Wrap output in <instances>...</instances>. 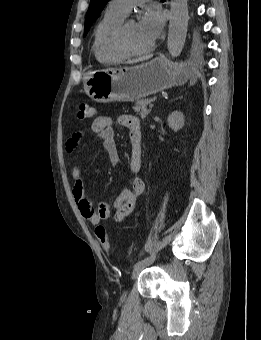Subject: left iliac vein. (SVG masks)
<instances>
[{
  "instance_id": "1",
  "label": "left iliac vein",
  "mask_w": 261,
  "mask_h": 340,
  "mask_svg": "<svg viewBox=\"0 0 261 340\" xmlns=\"http://www.w3.org/2000/svg\"><path fill=\"white\" fill-rule=\"evenodd\" d=\"M145 265H140L137 267H134L133 271H132V275L131 278L134 280L137 278V276L139 275V273L144 269ZM126 297V293H124L122 295V299H124Z\"/></svg>"
}]
</instances>
